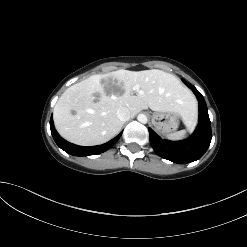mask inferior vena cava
I'll return each instance as SVG.
<instances>
[{
    "mask_svg": "<svg viewBox=\"0 0 247 247\" xmlns=\"http://www.w3.org/2000/svg\"><path fill=\"white\" fill-rule=\"evenodd\" d=\"M116 115L122 122L128 121L131 117L130 110L127 107H120L117 110Z\"/></svg>",
    "mask_w": 247,
    "mask_h": 247,
    "instance_id": "inferior-vena-cava-1",
    "label": "inferior vena cava"
}]
</instances>
